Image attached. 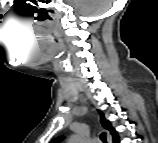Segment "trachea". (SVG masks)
Masks as SVG:
<instances>
[{
    "mask_svg": "<svg viewBox=\"0 0 158 143\" xmlns=\"http://www.w3.org/2000/svg\"><path fill=\"white\" fill-rule=\"evenodd\" d=\"M100 139H101L104 143H106L105 133H102V134L100 135Z\"/></svg>",
    "mask_w": 158,
    "mask_h": 143,
    "instance_id": "3493384b",
    "label": "trachea"
}]
</instances>
